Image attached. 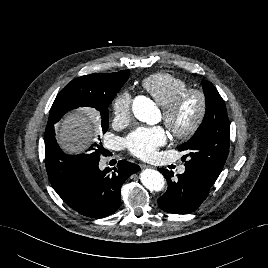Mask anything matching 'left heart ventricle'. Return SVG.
I'll return each instance as SVG.
<instances>
[{"mask_svg": "<svg viewBox=\"0 0 268 268\" xmlns=\"http://www.w3.org/2000/svg\"><path fill=\"white\" fill-rule=\"evenodd\" d=\"M198 110V99L190 95L183 101L176 115L175 123L179 128H186L194 119Z\"/></svg>", "mask_w": 268, "mask_h": 268, "instance_id": "left-heart-ventricle-1", "label": "left heart ventricle"}]
</instances>
